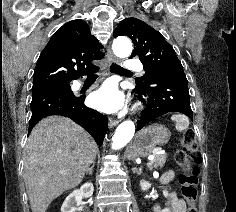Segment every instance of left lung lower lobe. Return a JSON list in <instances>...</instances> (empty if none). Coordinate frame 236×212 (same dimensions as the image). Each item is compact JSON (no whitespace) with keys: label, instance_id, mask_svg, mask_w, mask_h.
<instances>
[{"label":"left lung lower lobe","instance_id":"0a47b994","mask_svg":"<svg viewBox=\"0 0 236 212\" xmlns=\"http://www.w3.org/2000/svg\"><path fill=\"white\" fill-rule=\"evenodd\" d=\"M145 108L137 121V130L169 112H180L193 120L188 81L182 68L169 70L153 78L147 87L134 90Z\"/></svg>","mask_w":236,"mask_h":212}]
</instances>
